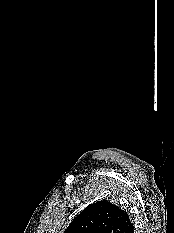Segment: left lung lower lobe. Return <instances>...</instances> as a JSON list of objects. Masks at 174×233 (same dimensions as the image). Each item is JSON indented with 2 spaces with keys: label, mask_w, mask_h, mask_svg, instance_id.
<instances>
[{
  "label": "left lung lower lobe",
  "mask_w": 174,
  "mask_h": 233,
  "mask_svg": "<svg viewBox=\"0 0 174 233\" xmlns=\"http://www.w3.org/2000/svg\"><path fill=\"white\" fill-rule=\"evenodd\" d=\"M134 230H135V228H134L133 224H131L127 229H125L123 231V233H134Z\"/></svg>",
  "instance_id": "1"
}]
</instances>
